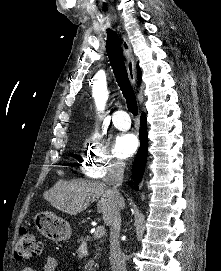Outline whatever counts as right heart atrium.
I'll return each mask as SVG.
<instances>
[{
    "mask_svg": "<svg viewBox=\"0 0 221 271\" xmlns=\"http://www.w3.org/2000/svg\"><path fill=\"white\" fill-rule=\"evenodd\" d=\"M89 151H78V156L82 159V170H85V177H103L107 173V167H111L110 159L113 155L110 151H98V146H89Z\"/></svg>",
    "mask_w": 221,
    "mask_h": 271,
    "instance_id": "1",
    "label": "right heart atrium"
}]
</instances>
